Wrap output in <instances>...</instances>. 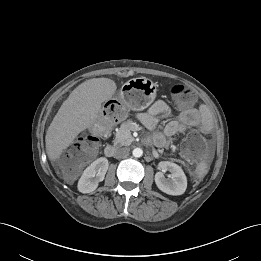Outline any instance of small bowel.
Masks as SVG:
<instances>
[{"label":"small bowel","instance_id":"c3829d8e","mask_svg":"<svg viewBox=\"0 0 261 261\" xmlns=\"http://www.w3.org/2000/svg\"><path fill=\"white\" fill-rule=\"evenodd\" d=\"M170 115L171 108L169 105L163 100H157L146 112L140 113L138 118L146 128L154 130L157 128L160 119L167 118ZM191 129H198L205 135L211 134L213 121L206 108H189L182 111L178 120L169 121L162 132L154 134L153 142L158 147H167L169 138Z\"/></svg>","mask_w":261,"mask_h":261}]
</instances>
